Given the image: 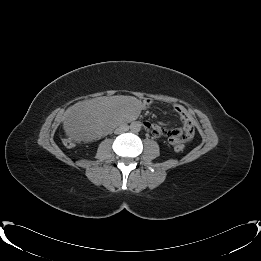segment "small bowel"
I'll use <instances>...</instances> for the list:
<instances>
[{"mask_svg":"<svg viewBox=\"0 0 261 261\" xmlns=\"http://www.w3.org/2000/svg\"><path fill=\"white\" fill-rule=\"evenodd\" d=\"M174 111L182 121V129L168 130L159 124L155 123H144L145 128L157 136H183L185 142L189 141L194 135L193 123L188 114L179 106L174 107Z\"/></svg>","mask_w":261,"mask_h":261,"instance_id":"1","label":"small bowel"}]
</instances>
